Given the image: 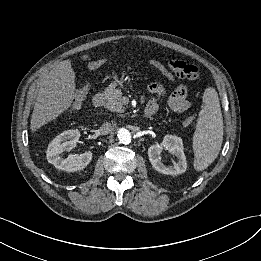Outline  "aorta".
I'll return each instance as SVG.
<instances>
[{
    "instance_id": "aorta-1",
    "label": "aorta",
    "mask_w": 261,
    "mask_h": 261,
    "mask_svg": "<svg viewBox=\"0 0 261 261\" xmlns=\"http://www.w3.org/2000/svg\"><path fill=\"white\" fill-rule=\"evenodd\" d=\"M117 136L119 141L123 144H129L131 142V133L125 128H120L117 131Z\"/></svg>"
}]
</instances>
